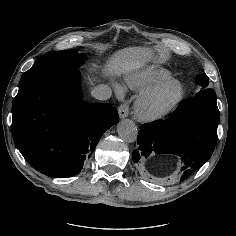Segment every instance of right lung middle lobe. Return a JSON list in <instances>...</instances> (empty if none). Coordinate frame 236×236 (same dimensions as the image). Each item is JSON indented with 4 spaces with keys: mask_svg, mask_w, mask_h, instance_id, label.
<instances>
[{
    "mask_svg": "<svg viewBox=\"0 0 236 236\" xmlns=\"http://www.w3.org/2000/svg\"><path fill=\"white\" fill-rule=\"evenodd\" d=\"M85 60L86 55L77 53L75 50L56 51L45 54L39 57L34 65L22 75L19 88L42 77L79 68Z\"/></svg>",
    "mask_w": 236,
    "mask_h": 236,
    "instance_id": "right-lung-middle-lobe-1",
    "label": "right lung middle lobe"
}]
</instances>
